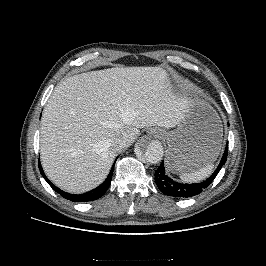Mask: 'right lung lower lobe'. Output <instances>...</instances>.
<instances>
[{
	"label": "right lung lower lobe",
	"instance_id": "right-lung-lower-lobe-1",
	"mask_svg": "<svg viewBox=\"0 0 266 266\" xmlns=\"http://www.w3.org/2000/svg\"><path fill=\"white\" fill-rule=\"evenodd\" d=\"M39 169H40L42 176L47 181V183L61 196H63L64 198H66L68 200H71L73 202H87V201H93V200H96V199L102 197L104 195V193L107 191V189L109 188L110 183H111L114 164L111 168V171H110L108 177L100 186H98L97 188H95V189H93L87 193L80 194V195H73V194L66 193V192L62 191L61 189H59L58 187H56L55 185H53L49 181V179H47V177L45 176L40 162H39Z\"/></svg>",
	"mask_w": 266,
	"mask_h": 266
}]
</instances>
